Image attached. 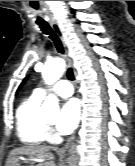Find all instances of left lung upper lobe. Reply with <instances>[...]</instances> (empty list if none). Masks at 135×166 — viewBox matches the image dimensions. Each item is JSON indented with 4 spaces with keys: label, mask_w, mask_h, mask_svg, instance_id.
I'll list each match as a JSON object with an SVG mask.
<instances>
[{
    "label": "left lung upper lobe",
    "mask_w": 135,
    "mask_h": 166,
    "mask_svg": "<svg viewBox=\"0 0 135 166\" xmlns=\"http://www.w3.org/2000/svg\"><path fill=\"white\" fill-rule=\"evenodd\" d=\"M27 77L22 81L21 85L19 86L17 92L20 90V88L22 87V85L24 84V82L26 81Z\"/></svg>",
    "instance_id": "5c2ea615"
}]
</instances>
